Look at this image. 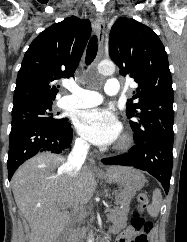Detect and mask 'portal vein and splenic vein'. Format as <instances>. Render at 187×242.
<instances>
[{
	"label": "portal vein and splenic vein",
	"mask_w": 187,
	"mask_h": 242,
	"mask_svg": "<svg viewBox=\"0 0 187 242\" xmlns=\"http://www.w3.org/2000/svg\"><path fill=\"white\" fill-rule=\"evenodd\" d=\"M108 211H109V209H108V208H106L104 212L106 213V212H108Z\"/></svg>",
	"instance_id": "obj_1"
}]
</instances>
